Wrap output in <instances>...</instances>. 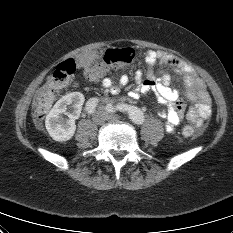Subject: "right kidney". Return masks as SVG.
Instances as JSON below:
<instances>
[{
  "instance_id": "obj_1",
  "label": "right kidney",
  "mask_w": 233,
  "mask_h": 233,
  "mask_svg": "<svg viewBox=\"0 0 233 233\" xmlns=\"http://www.w3.org/2000/svg\"><path fill=\"white\" fill-rule=\"evenodd\" d=\"M84 101L82 93L72 92L56 102L45 120L46 129L53 140L64 142L73 137L76 130L75 120L80 116Z\"/></svg>"
}]
</instances>
